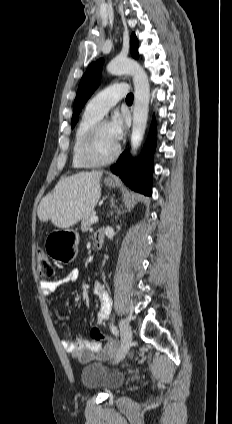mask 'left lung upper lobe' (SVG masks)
Segmentation results:
<instances>
[{
    "label": "left lung upper lobe",
    "mask_w": 232,
    "mask_h": 424,
    "mask_svg": "<svg viewBox=\"0 0 232 424\" xmlns=\"http://www.w3.org/2000/svg\"><path fill=\"white\" fill-rule=\"evenodd\" d=\"M130 47H131L132 56L134 58H138L139 57V54L137 52L138 40L134 33H132L131 35ZM102 65H103L102 59H99L96 62L91 63L80 81L77 95L74 101L72 128L75 126L76 122L78 121V114L81 112L82 107L87 102V100L92 95V93L97 88L100 82Z\"/></svg>",
    "instance_id": "obj_1"
}]
</instances>
